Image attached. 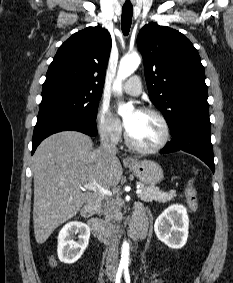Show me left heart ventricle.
Segmentation results:
<instances>
[{
	"label": "left heart ventricle",
	"instance_id": "left-heart-ventricle-1",
	"mask_svg": "<svg viewBox=\"0 0 233 283\" xmlns=\"http://www.w3.org/2000/svg\"><path fill=\"white\" fill-rule=\"evenodd\" d=\"M125 119L129 122L127 130L136 143L151 147L161 141L163 127L156 116L141 111H132Z\"/></svg>",
	"mask_w": 233,
	"mask_h": 283
}]
</instances>
